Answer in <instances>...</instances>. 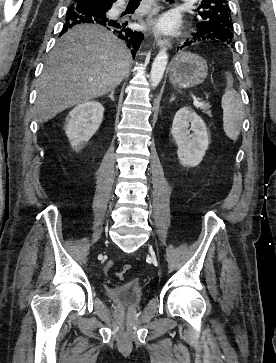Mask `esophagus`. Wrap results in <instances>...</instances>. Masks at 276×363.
I'll use <instances>...</instances> for the list:
<instances>
[{
  "instance_id": "obj_1",
  "label": "esophagus",
  "mask_w": 276,
  "mask_h": 363,
  "mask_svg": "<svg viewBox=\"0 0 276 363\" xmlns=\"http://www.w3.org/2000/svg\"><path fill=\"white\" fill-rule=\"evenodd\" d=\"M147 2L149 4L153 3V0H147ZM151 20V16L148 18V21ZM154 38H155V42L157 44V46L161 47V48H165V49H169L171 47V43L170 40L165 37L164 35H162L159 32H155L154 33Z\"/></svg>"
}]
</instances>
